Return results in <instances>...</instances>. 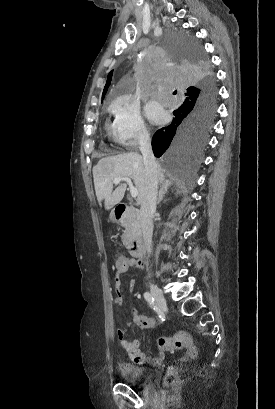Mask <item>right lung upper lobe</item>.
<instances>
[{"mask_svg":"<svg viewBox=\"0 0 275 409\" xmlns=\"http://www.w3.org/2000/svg\"><path fill=\"white\" fill-rule=\"evenodd\" d=\"M112 73H113V71H111V72L108 74L107 82H106V85H105V87H104L103 94H102V99H104V96H105V94H106V92H107V89H108V87H109V85H110V82H111V79H112ZM195 89H196L195 86H190V87L187 88V93L185 94V95L187 96L186 100L193 94V92L195 91Z\"/></svg>","mask_w":275,"mask_h":409,"instance_id":"1","label":"right lung upper lobe"}]
</instances>
